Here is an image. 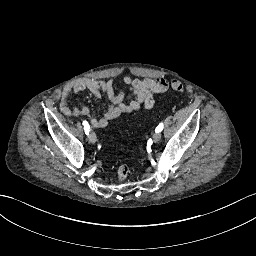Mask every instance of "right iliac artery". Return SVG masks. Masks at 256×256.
I'll return each instance as SVG.
<instances>
[{
    "label": "right iliac artery",
    "instance_id": "1",
    "mask_svg": "<svg viewBox=\"0 0 256 256\" xmlns=\"http://www.w3.org/2000/svg\"><path fill=\"white\" fill-rule=\"evenodd\" d=\"M83 125H84L85 134L88 135L89 131H90V126H89L88 122L83 121Z\"/></svg>",
    "mask_w": 256,
    "mask_h": 256
}]
</instances>
